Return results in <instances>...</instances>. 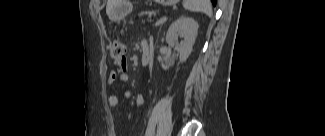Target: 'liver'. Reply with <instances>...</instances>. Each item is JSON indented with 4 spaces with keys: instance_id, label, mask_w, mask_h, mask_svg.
Returning <instances> with one entry per match:
<instances>
[{
    "instance_id": "1",
    "label": "liver",
    "mask_w": 325,
    "mask_h": 136,
    "mask_svg": "<svg viewBox=\"0 0 325 136\" xmlns=\"http://www.w3.org/2000/svg\"><path fill=\"white\" fill-rule=\"evenodd\" d=\"M117 1L118 0H107L106 13H107L110 20H113L112 12H113V9H114Z\"/></svg>"
}]
</instances>
